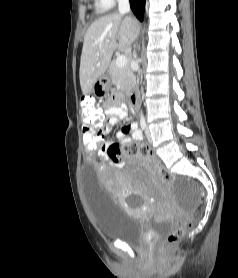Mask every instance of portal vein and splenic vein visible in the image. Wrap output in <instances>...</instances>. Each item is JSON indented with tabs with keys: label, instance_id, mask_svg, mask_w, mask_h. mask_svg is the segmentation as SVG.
I'll list each match as a JSON object with an SVG mask.
<instances>
[{
	"label": "portal vein and splenic vein",
	"instance_id": "1",
	"mask_svg": "<svg viewBox=\"0 0 238 278\" xmlns=\"http://www.w3.org/2000/svg\"><path fill=\"white\" fill-rule=\"evenodd\" d=\"M127 64V58L125 55H119L116 59V65L118 67H124Z\"/></svg>",
	"mask_w": 238,
	"mask_h": 278
}]
</instances>
